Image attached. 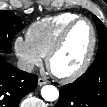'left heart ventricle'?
I'll list each match as a JSON object with an SVG mask.
<instances>
[{"label": "left heart ventricle", "mask_w": 107, "mask_h": 107, "mask_svg": "<svg viewBox=\"0 0 107 107\" xmlns=\"http://www.w3.org/2000/svg\"><path fill=\"white\" fill-rule=\"evenodd\" d=\"M91 30L87 23L80 22L70 32L63 48L53 58L52 70L67 75L79 68L89 51Z\"/></svg>", "instance_id": "b2bd125f"}]
</instances>
